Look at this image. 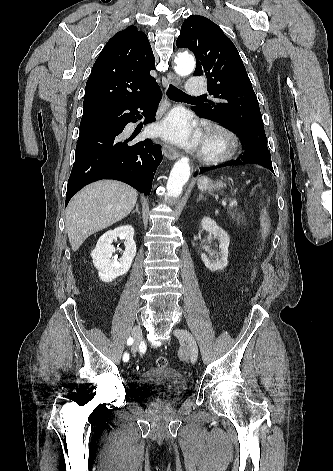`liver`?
Segmentation results:
<instances>
[{"instance_id": "liver-1", "label": "liver", "mask_w": 333, "mask_h": 471, "mask_svg": "<svg viewBox=\"0 0 333 471\" xmlns=\"http://www.w3.org/2000/svg\"><path fill=\"white\" fill-rule=\"evenodd\" d=\"M137 191L115 180H101L84 187L71 200L66 230L72 250L77 251L90 235L125 218L134 208Z\"/></svg>"}]
</instances>
